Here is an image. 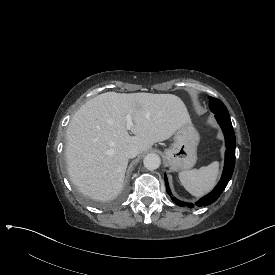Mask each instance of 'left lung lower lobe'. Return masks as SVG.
I'll list each match as a JSON object with an SVG mask.
<instances>
[{"instance_id": "0a47b994", "label": "left lung lower lobe", "mask_w": 275, "mask_h": 275, "mask_svg": "<svg viewBox=\"0 0 275 275\" xmlns=\"http://www.w3.org/2000/svg\"><path fill=\"white\" fill-rule=\"evenodd\" d=\"M215 114V113H214ZM215 118L218 121L219 125L222 128V131L225 136V165L222 173V177L217 184V186L213 189L212 192L201 198L195 204L186 203L176 199L175 197H171L172 201L176 203L178 206L193 208L194 206L201 207L207 206L215 202L219 196L222 194L224 189L226 188L231 176L233 174L234 166H235V148H236V140L234 130L231 124L230 116H224L221 114H215ZM165 185L167 193L171 196V191L169 188L168 180L165 175Z\"/></svg>"}]
</instances>
